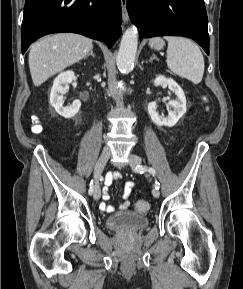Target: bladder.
Here are the masks:
<instances>
[{"label": "bladder", "instance_id": "bladder-1", "mask_svg": "<svg viewBox=\"0 0 243 289\" xmlns=\"http://www.w3.org/2000/svg\"><path fill=\"white\" fill-rule=\"evenodd\" d=\"M149 219L133 211H121L110 215L106 219V225L116 231H137L148 226Z\"/></svg>", "mask_w": 243, "mask_h": 289}]
</instances>
